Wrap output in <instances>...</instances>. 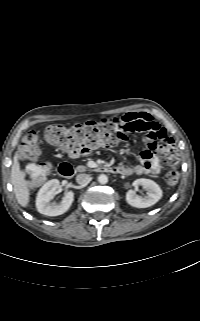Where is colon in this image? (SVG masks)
Returning <instances> with one entry per match:
<instances>
[{
	"label": "colon",
	"mask_w": 200,
	"mask_h": 321,
	"mask_svg": "<svg viewBox=\"0 0 200 321\" xmlns=\"http://www.w3.org/2000/svg\"><path fill=\"white\" fill-rule=\"evenodd\" d=\"M124 126L116 119L87 122L74 125H50L45 130L47 142L73 154H85L98 147H113L124 137ZM19 154L22 159L32 161L26 174L31 183H42L50 172L49 163H35L39 155L38 136L27 133L22 139ZM167 172L165 181L169 185L177 183L179 156L173 147L163 153Z\"/></svg>",
	"instance_id": "1"
}]
</instances>
